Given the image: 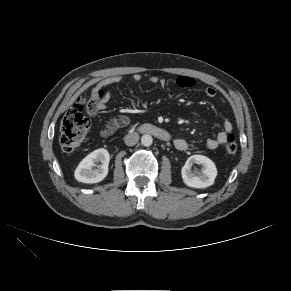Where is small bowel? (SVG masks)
Returning <instances> with one entry per match:
<instances>
[{"label":"small bowel","instance_id":"c3829d8e","mask_svg":"<svg viewBox=\"0 0 291 291\" xmlns=\"http://www.w3.org/2000/svg\"><path fill=\"white\" fill-rule=\"evenodd\" d=\"M140 74H133L132 80L135 82H139L141 80ZM123 80V76L121 75H113L106 77L100 80L96 86L93 88L91 92V102H89L87 106V110L90 115L94 116L100 111H104L107 107V104L110 100L111 94L109 91L105 90V88L118 84ZM151 83H160L163 82L157 76H151L149 78ZM176 84L183 89L192 88L195 85V80L188 76H179L176 79ZM205 94L208 97H214L216 95V90L212 87H206L204 90ZM124 117V116H120ZM126 118V117H124ZM115 120V119H114ZM113 120V121H114ZM112 121V122H113ZM112 122L102 131V135L107 136L112 133L116 128L125 126L128 123V119L126 118V123L123 125L113 126ZM232 131V124L229 121H225L223 123V131H221L215 138L208 139L206 141V146L208 149L214 150L219 146L226 143V139L229 133ZM175 147L180 151H185L189 147V143L184 139H176L174 141Z\"/></svg>","mask_w":291,"mask_h":291}]
</instances>
